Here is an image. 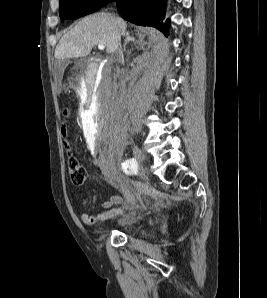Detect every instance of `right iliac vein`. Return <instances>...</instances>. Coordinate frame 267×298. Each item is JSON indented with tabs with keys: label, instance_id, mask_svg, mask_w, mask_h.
Returning <instances> with one entry per match:
<instances>
[{
	"label": "right iliac vein",
	"instance_id": "1",
	"mask_svg": "<svg viewBox=\"0 0 267 298\" xmlns=\"http://www.w3.org/2000/svg\"><path fill=\"white\" fill-rule=\"evenodd\" d=\"M133 154L139 164H142L146 160L145 154L136 146L133 148Z\"/></svg>",
	"mask_w": 267,
	"mask_h": 298
}]
</instances>
